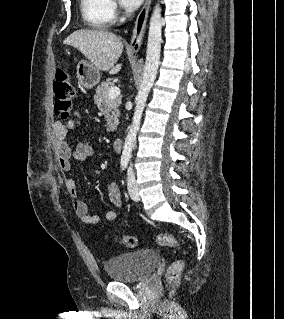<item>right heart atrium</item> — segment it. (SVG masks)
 Masks as SVG:
<instances>
[{"instance_id":"right-heart-atrium-1","label":"right heart atrium","mask_w":284,"mask_h":319,"mask_svg":"<svg viewBox=\"0 0 284 319\" xmlns=\"http://www.w3.org/2000/svg\"><path fill=\"white\" fill-rule=\"evenodd\" d=\"M109 11L113 19L116 18L118 14V9L114 1L109 0Z\"/></svg>"}]
</instances>
